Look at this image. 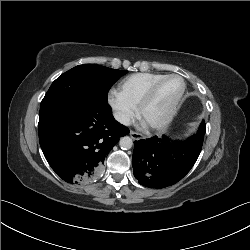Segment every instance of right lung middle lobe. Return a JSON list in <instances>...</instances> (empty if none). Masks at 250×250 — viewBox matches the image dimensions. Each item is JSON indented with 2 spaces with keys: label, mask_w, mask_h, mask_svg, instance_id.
<instances>
[{
  "label": "right lung middle lobe",
  "mask_w": 250,
  "mask_h": 250,
  "mask_svg": "<svg viewBox=\"0 0 250 250\" xmlns=\"http://www.w3.org/2000/svg\"><path fill=\"white\" fill-rule=\"evenodd\" d=\"M127 73L95 64L76 66L58 77L40 105V114L73 98L85 97L108 102L107 95L119 77Z\"/></svg>",
  "instance_id": "dd1d6c3e"
}]
</instances>
